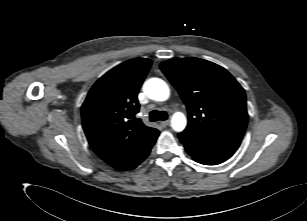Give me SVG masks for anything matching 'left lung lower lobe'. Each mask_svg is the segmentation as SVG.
Wrapping results in <instances>:
<instances>
[{
	"mask_svg": "<svg viewBox=\"0 0 307 221\" xmlns=\"http://www.w3.org/2000/svg\"><path fill=\"white\" fill-rule=\"evenodd\" d=\"M187 153L204 165H217L229 159L238 149L241 140L209 135L185 129L178 135Z\"/></svg>",
	"mask_w": 307,
	"mask_h": 221,
	"instance_id": "left-lung-lower-lobe-1",
	"label": "left lung lower lobe"
}]
</instances>
